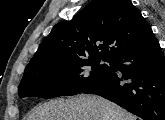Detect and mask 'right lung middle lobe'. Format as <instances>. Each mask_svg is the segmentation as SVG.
<instances>
[{
    "label": "right lung middle lobe",
    "mask_w": 165,
    "mask_h": 120,
    "mask_svg": "<svg viewBox=\"0 0 165 120\" xmlns=\"http://www.w3.org/2000/svg\"><path fill=\"white\" fill-rule=\"evenodd\" d=\"M108 62L110 66L102 63ZM112 61L81 58L44 61L28 65L20 82L19 97L54 98L81 93L95 81L106 77Z\"/></svg>",
    "instance_id": "obj_1"
}]
</instances>
